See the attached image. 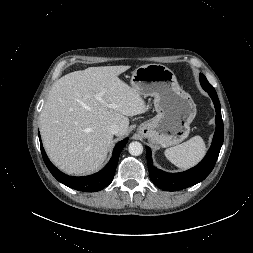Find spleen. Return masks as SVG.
<instances>
[{
	"mask_svg": "<svg viewBox=\"0 0 253 253\" xmlns=\"http://www.w3.org/2000/svg\"><path fill=\"white\" fill-rule=\"evenodd\" d=\"M206 153L205 142L201 136L165 150L166 158L175 166L188 169L198 164Z\"/></svg>",
	"mask_w": 253,
	"mask_h": 253,
	"instance_id": "1",
	"label": "spleen"
}]
</instances>
